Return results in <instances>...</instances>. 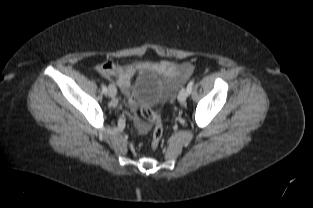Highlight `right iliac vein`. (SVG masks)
Returning a JSON list of instances; mask_svg holds the SVG:
<instances>
[{"mask_svg": "<svg viewBox=\"0 0 313 208\" xmlns=\"http://www.w3.org/2000/svg\"><path fill=\"white\" fill-rule=\"evenodd\" d=\"M108 94L111 98H114L117 94L116 87L113 84H110L108 86Z\"/></svg>", "mask_w": 313, "mask_h": 208, "instance_id": "right-iliac-vein-1", "label": "right iliac vein"}]
</instances>
